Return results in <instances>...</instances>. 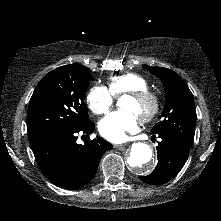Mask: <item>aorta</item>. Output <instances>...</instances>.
<instances>
[{"label":"aorta","mask_w":221,"mask_h":221,"mask_svg":"<svg viewBox=\"0 0 221 221\" xmlns=\"http://www.w3.org/2000/svg\"><path fill=\"white\" fill-rule=\"evenodd\" d=\"M126 165L136 175L151 173L155 167V161L150 146L141 142L134 143L126 155Z\"/></svg>","instance_id":"aorta-1"}]
</instances>
